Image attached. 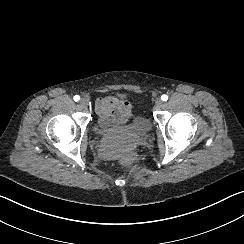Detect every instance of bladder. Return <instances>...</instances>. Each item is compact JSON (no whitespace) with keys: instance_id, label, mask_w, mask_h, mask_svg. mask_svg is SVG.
Segmentation results:
<instances>
[{"instance_id":"obj_1","label":"bladder","mask_w":244,"mask_h":244,"mask_svg":"<svg viewBox=\"0 0 244 244\" xmlns=\"http://www.w3.org/2000/svg\"><path fill=\"white\" fill-rule=\"evenodd\" d=\"M120 129L126 130L130 133H136L140 136H144L150 133L151 123L146 117L135 116L134 118H132L131 123L128 126Z\"/></svg>"}]
</instances>
